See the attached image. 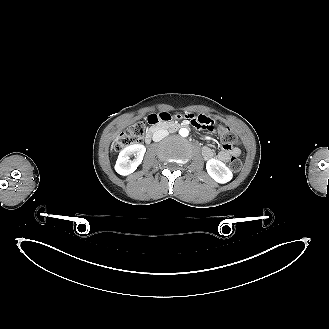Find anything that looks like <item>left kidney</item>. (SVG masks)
I'll return each instance as SVG.
<instances>
[{"label": "left kidney", "mask_w": 329, "mask_h": 329, "mask_svg": "<svg viewBox=\"0 0 329 329\" xmlns=\"http://www.w3.org/2000/svg\"><path fill=\"white\" fill-rule=\"evenodd\" d=\"M206 170L210 177L218 183H227L232 179V172L221 161L213 158L207 161Z\"/></svg>", "instance_id": "1"}]
</instances>
